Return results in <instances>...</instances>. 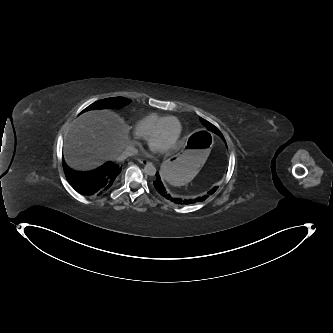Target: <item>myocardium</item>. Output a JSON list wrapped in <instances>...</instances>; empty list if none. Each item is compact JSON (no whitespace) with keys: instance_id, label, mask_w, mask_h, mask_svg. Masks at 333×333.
I'll use <instances>...</instances> for the list:
<instances>
[{"instance_id":"myocardium-1","label":"myocardium","mask_w":333,"mask_h":333,"mask_svg":"<svg viewBox=\"0 0 333 333\" xmlns=\"http://www.w3.org/2000/svg\"><path fill=\"white\" fill-rule=\"evenodd\" d=\"M169 120H175L177 125L179 123V120L177 117L175 116H168L167 118H165L164 120H162L159 125L155 128V130L151 133V135L149 136L148 140H149V143H152L153 140L155 139V137L162 131L164 125L169 121ZM179 127V131H180V126L178 125ZM179 133V132H178ZM178 142H179V138H178V135L177 137L175 138V140L168 146L165 148V151H171L173 150L174 148H176V146L178 145Z\"/></svg>"}]
</instances>
